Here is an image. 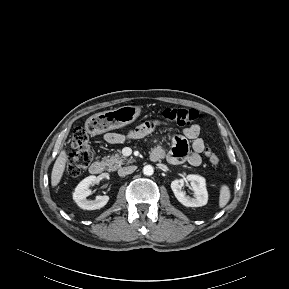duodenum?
<instances>
[{"instance_id": "410a0bca", "label": "duodenum", "mask_w": 289, "mask_h": 289, "mask_svg": "<svg viewBox=\"0 0 289 289\" xmlns=\"http://www.w3.org/2000/svg\"><path fill=\"white\" fill-rule=\"evenodd\" d=\"M150 158L154 162L161 159L160 155L153 154V153L151 154ZM104 170H105V165L101 161H94L89 167V171L93 175L101 174L102 172H104Z\"/></svg>"}]
</instances>
